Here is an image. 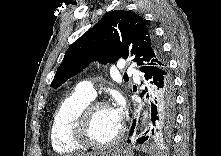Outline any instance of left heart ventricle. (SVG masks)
<instances>
[{"label": "left heart ventricle", "mask_w": 221, "mask_h": 156, "mask_svg": "<svg viewBox=\"0 0 221 156\" xmlns=\"http://www.w3.org/2000/svg\"><path fill=\"white\" fill-rule=\"evenodd\" d=\"M120 123L112 116L110 107H103L95 111L89 126V137L98 143L112 139L118 132Z\"/></svg>", "instance_id": "obj_1"}]
</instances>
